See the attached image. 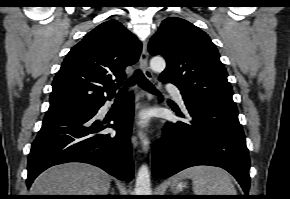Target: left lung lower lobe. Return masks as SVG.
I'll use <instances>...</instances> for the list:
<instances>
[{
  "mask_svg": "<svg viewBox=\"0 0 290 199\" xmlns=\"http://www.w3.org/2000/svg\"><path fill=\"white\" fill-rule=\"evenodd\" d=\"M184 102L191 119L167 124V134L154 146L152 173L167 178L191 166H218L237 179L248 198L250 160L237 109L197 98Z\"/></svg>",
  "mask_w": 290,
  "mask_h": 199,
  "instance_id": "left-lung-lower-lobe-1",
  "label": "left lung lower lobe"
}]
</instances>
